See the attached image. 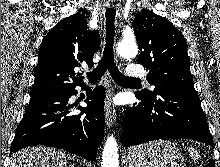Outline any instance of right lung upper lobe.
Instances as JSON below:
<instances>
[{"mask_svg":"<svg viewBox=\"0 0 220 167\" xmlns=\"http://www.w3.org/2000/svg\"><path fill=\"white\" fill-rule=\"evenodd\" d=\"M99 47V33L87 28L84 14H73L60 21L40 46L31 96L83 84V77L75 74L74 68L81 62L92 67Z\"/></svg>","mask_w":220,"mask_h":167,"instance_id":"obj_1","label":"right lung upper lobe"}]
</instances>
